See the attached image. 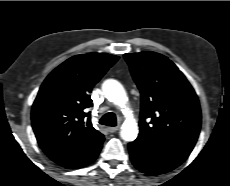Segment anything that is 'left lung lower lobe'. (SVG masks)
<instances>
[{
	"label": "left lung lower lobe",
	"mask_w": 230,
	"mask_h": 186,
	"mask_svg": "<svg viewBox=\"0 0 230 186\" xmlns=\"http://www.w3.org/2000/svg\"><path fill=\"white\" fill-rule=\"evenodd\" d=\"M130 158L140 171L158 175L178 167L191 151L158 145L151 140L137 138L129 143Z\"/></svg>",
	"instance_id": "0a47b994"
}]
</instances>
